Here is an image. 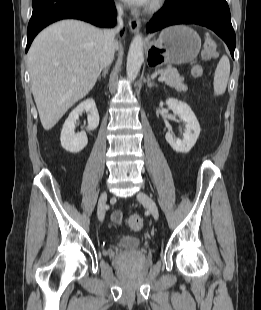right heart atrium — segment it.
<instances>
[{"mask_svg": "<svg viewBox=\"0 0 261 310\" xmlns=\"http://www.w3.org/2000/svg\"><path fill=\"white\" fill-rule=\"evenodd\" d=\"M116 9H117L118 11H121V10H122V7H121V5H120L119 3L116 4Z\"/></svg>", "mask_w": 261, "mask_h": 310, "instance_id": "right-heart-atrium-1", "label": "right heart atrium"}]
</instances>
